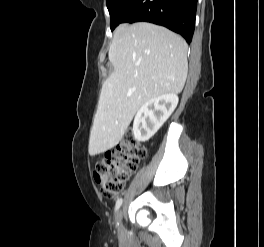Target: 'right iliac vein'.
Wrapping results in <instances>:
<instances>
[{"label":"right iliac vein","mask_w":264,"mask_h":247,"mask_svg":"<svg viewBox=\"0 0 264 247\" xmlns=\"http://www.w3.org/2000/svg\"><path fill=\"white\" fill-rule=\"evenodd\" d=\"M117 219L121 223V221H122V211L121 210L118 211V213H117Z\"/></svg>","instance_id":"1"}]
</instances>
